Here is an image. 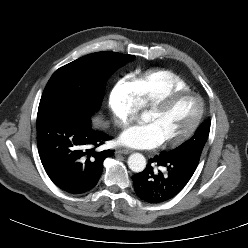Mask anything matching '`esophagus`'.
<instances>
[{
	"label": "esophagus",
	"mask_w": 248,
	"mask_h": 248,
	"mask_svg": "<svg viewBox=\"0 0 248 248\" xmlns=\"http://www.w3.org/2000/svg\"><path fill=\"white\" fill-rule=\"evenodd\" d=\"M116 154H129L131 151L129 149H117L115 151Z\"/></svg>",
	"instance_id": "esophagus-1"
}]
</instances>
